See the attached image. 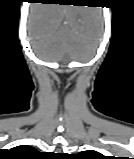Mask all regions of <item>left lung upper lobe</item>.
I'll return each instance as SVG.
<instances>
[{"instance_id": "5c2ea615", "label": "left lung upper lobe", "mask_w": 134, "mask_h": 159, "mask_svg": "<svg viewBox=\"0 0 134 159\" xmlns=\"http://www.w3.org/2000/svg\"><path fill=\"white\" fill-rule=\"evenodd\" d=\"M73 159H105V157L94 150H87L74 155Z\"/></svg>"}]
</instances>
